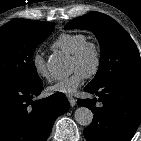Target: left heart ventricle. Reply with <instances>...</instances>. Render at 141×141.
I'll return each mask as SVG.
<instances>
[{"label":"left heart ventricle","mask_w":141,"mask_h":141,"mask_svg":"<svg viewBox=\"0 0 141 141\" xmlns=\"http://www.w3.org/2000/svg\"><path fill=\"white\" fill-rule=\"evenodd\" d=\"M92 64L93 55L88 52L80 61L71 58L70 69L71 71H80L84 75L92 67Z\"/></svg>","instance_id":"left-heart-ventricle-1"}]
</instances>
